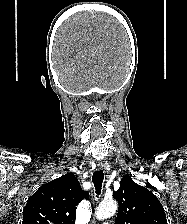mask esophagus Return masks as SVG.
<instances>
[{"instance_id": "obj_1", "label": "esophagus", "mask_w": 187, "mask_h": 224, "mask_svg": "<svg viewBox=\"0 0 187 224\" xmlns=\"http://www.w3.org/2000/svg\"><path fill=\"white\" fill-rule=\"evenodd\" d=\"M97 170H100L103 168V164L102 163H97L96 165Z\"/></svg>"}]
</instances>
